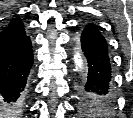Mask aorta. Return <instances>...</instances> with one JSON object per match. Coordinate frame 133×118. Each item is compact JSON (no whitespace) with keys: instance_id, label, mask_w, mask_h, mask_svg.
Segmentation results:
<instances>
[{"instance_id":"aorta-1","label":"aorta","mask_w":133,"mask_h":118,"mask_svg":"<svg viewBox=\"0 0 133 118\" xmlns=\"http://www.w3.org/2000/svg\"><path fill=\"white\" fill-rule=\"evenodd\" d=\"M73 59H74L75 71L81 74L84 70V62L81 53L79 51H75Z\"/></svg>"}]
</instances>
